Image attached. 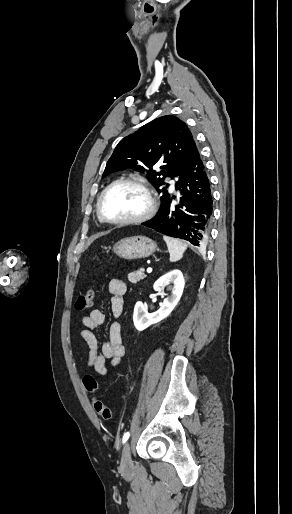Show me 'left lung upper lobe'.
<instances>
[{"mask_svg":"<svg viewBox=\"0 0 292 514\" xmlns=\"http://www.w3.org/2000/svg\"><path fill=\"white\" fill-rule=\"evenodd\" d=\"M193 143V135L182 120L172 115L159 117L118 143L102 178L125 169L146 172L147 179L162 198L169 194L165 178L180 177ZM157 166L162 169L160 172L153 170ZM161 175L162 178L158 177Z\"/></svg>","mask_w":292,"mask_h":514,"instance_id":"obj_1","label":"left lung upper lobe"}]
</instances>
